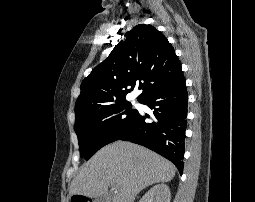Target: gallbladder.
<instances>
[{
    "label": "gallbladder",
    "mask_w": 255,
    "mask_h": 202,
    "mask_svg": "<svg viewBox=\"0 0 255 202\" xmlns=\"http://www.w3.org/2000/svg\"><path fill=\"white\" fill-rule=\"evenodd\" d=\"M105 200H106V196L105 195H101V196L96 198V202H105Z\"/></svg>",
    "instance_id": "bac80fb5"
}]
</instances>
